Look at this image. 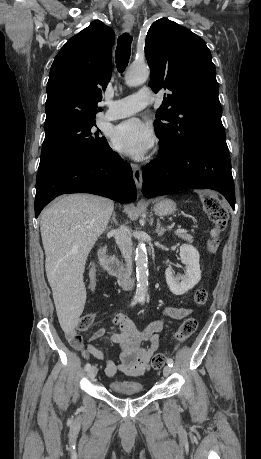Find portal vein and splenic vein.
Listing matches in <instances>:
<instances>
[{
  "instance_id": "obj_1",
  "label": "portal vein and splenic vein",
  "mask_w": 261,
  "mask_h": 459,
  "mask_svg": "<svg viewBox=\"0 0 261 459\" xmlns=\"http://www.w3.org/2000/svg\"><path fill=\"white\" fill-rule=\"evenodd\" d=\"M186 232H187V230H186V229H183V228H178V229L176 230V233H186Z\"/></svg>"
}]
</instances>
